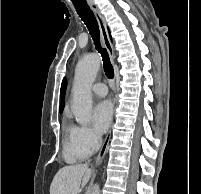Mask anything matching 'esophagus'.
Returning a JSON list of instances; mask_svg holds the SVG:
<instances>
[{
	"instance_id": "1",
	"label": "esophagus",
	"mask_w": 201,
	"mask_h": 194,
	"mask_svg": "<svg viewBox=\"0 0 201 194\" xmlns=\"http://www.w3.org/2000/svg\"><path fill=\"white\" fill-rule=\"evenodd\" d=\"M89 6L92 9V11L94 12L95 17L97 19L102 44L107 49L111 61L114 62L115 53H114V48H113L112 42H111L109 34H108L106 21H105L103 15L100 13L98 7L94 3L89 2ZM116 80H117V75H116ZM110 138H111V129L109 130L107 136L105 137L102 147L98 153V156L96 158V164L101 163V161L103 160V158L106 154V151L108 149V146H109Z\"/></svg>"
}]
</instances>
